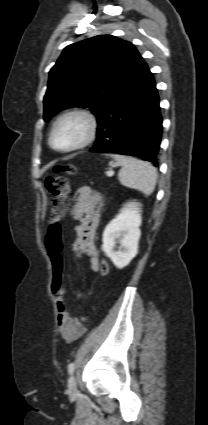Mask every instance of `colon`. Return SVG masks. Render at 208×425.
<instances>
[{
    "mask_svg": "<svg viewBox=\"0 0 208 425\" xmlns=\"http://www.w3.org/2000/svg\"><path fill=\"white\" fill-rule=\"evenodd\" d=\"M76 174V168L70 164L56 165L53 174L45 180V187L53 199V209L49 231L46 237V245L52 262L51 289L54 295H58L63 284L64 258L61 243L62 216L65 209L66 199L70 191L69 181L66 177ZM100 205L98 206V208ZM72 255H79L76 248L71 251ZM109 267L105 261L101 263L100 274L106 275ZM81 321H84L82 319Z\"/></svg>",
    "mask_w": 208,
    "mask_h": 425,
    "instance_id": "obj_1",
    "label": "colon"
}]
</instances>
